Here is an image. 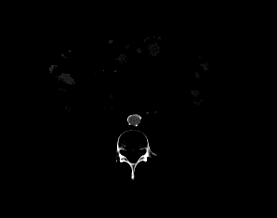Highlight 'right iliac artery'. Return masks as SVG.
<instances>
[{
  "label": "right iliac artery",
  "mask_w": 277,
  "mask_h": 218,
  "mask_svg": "<svg viewBox=\"0 0 277 218\" xmlns=\"http://www.w3.org/2000/svg\"><path fill=\"white\" fill-rule=\"evenodd\" d=\"M132 119H133V117H132V118H130V119H128V121H132Z\"/></svg>",
  "instance_id": "right-iliac-artery-1"
}]
</instances>
